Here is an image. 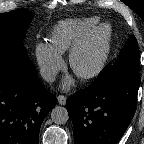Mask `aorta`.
I'll use <instances>...</instances> for the list:
<instances>
[{
    "label": "aorta",
    "instance_id": "aorta-1",
    "mask_svg": "<svg viewBox=\"0 0 144 144\" xmlns=\"http://www.w3.org/2000/svg\"><path fill=\"white\" fill-rule=\"evenodd\" d=\"M52 121L56 124H65L68 119V111L65 107L56 106L51 111Z\"/></svg>",
    "mask_w": 144,
    "mask_h": 144
}]
</instances>
